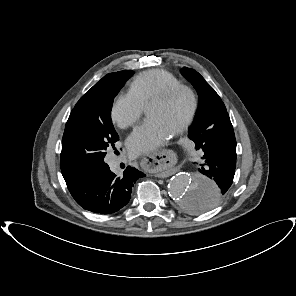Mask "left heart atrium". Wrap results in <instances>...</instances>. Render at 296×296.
I'll return each mask as SVG.
<instances>
[{
    "mask_svg": "<svg viewBox=\"0 0 296 296\" xmlns=\"http://www.w3.org/2000/svg\"><path fill=\"white\" fill-rule=\"evenodd\" d=\"M174 134V130L161 120L149 117L128 137L127 147L133 155L149 154L164 145Z\"/></svg>",
    "mask_w": 296,
    "mask_h": 296,
    "instance_id": "left-heart-atrium-1",
    "label": "left heart atrium"
}]
</instances>
